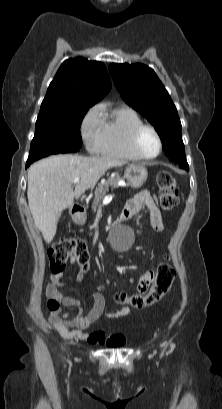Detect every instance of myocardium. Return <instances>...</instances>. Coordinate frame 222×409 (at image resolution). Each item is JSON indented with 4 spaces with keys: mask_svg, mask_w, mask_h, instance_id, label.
<instances>
[{
    "mask_svg": "<svg viewBox=\"0 0 222 409\" xmlns=\"http://www.w3.org/2000/svg\"><path fill=\"white\" fill-rule=\"evenodd\" d=\"M147 130L153 132V134L156 136V139H157V141H158V151H157V153H156L155 155H152V156L145 155V154L141 151L140 146H139L140 136L142 135V133H143L144 131H147ZM130 146H131L132 151H133L140 159H142V160H153V159H156V158L161 154L162 149H163V141H162V138H161L159 132L157 131V129H156L155 127H153V126H151V125L143 124V125L137 127V128L132 132L131 138H130Z\"/></svg>",
    "mask_w": 222,
    "mask_h": 409,
    "instance_id": "myocardium-1",
    "label": "myocardium"
}]
</instances>
